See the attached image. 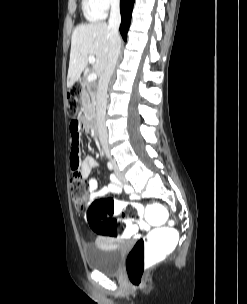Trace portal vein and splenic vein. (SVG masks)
Masks as SVG:
<instances>
[{
	"label": "portal vein and splenic vein",
	"instance_id": "1",
	"mask_svg": "<svg viewBox=\"0 0 247 304\" xmlns=\"http://www.w3.org/2000/svg\"><path fill=\"white\" fill-rule=\"evenodd\" d=\"M88 61H89L90 64H94L95 63L94 55H89ZM87 79H88L89 82H93L97 79V74L95 72H92L88 75Z\"/></svg>",
	"mask_w": 247,
	"mask_h": 304
}]
</instances>
